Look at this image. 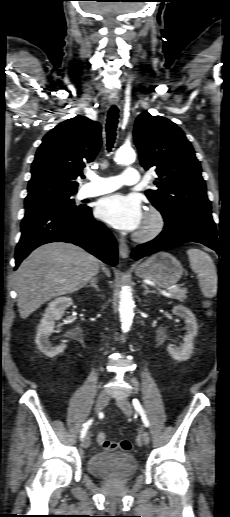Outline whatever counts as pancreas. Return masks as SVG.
<instances>
[{
    "instance_id": "1",
    "label": "pancreas",
    "mask_w": 230,
    "mask_h": 517,
    "mask_svg": "<svg viewBox=\"0 0 230 517\" xmlns=\"http://www.w3.org/2000/svg\"><path fill=\"white\" fill-rule=\"evenodd\" d=\"M172 299H176L179 301H184L187 298V290L186 289H179L175 293H173Z\"/></svg>"
}]
</instances>
